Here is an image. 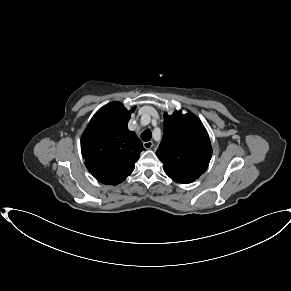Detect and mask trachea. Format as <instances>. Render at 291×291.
<instances>
[{"label":"trachea","instance_id":"3493384b","mask_svg":"<svg viewBox=\"0 0 291 291\" xmlns=\"http://www.w3.org/2000/svg\"><path fill=\"white\" fill-rule=\"evenodd\" d=\"M151 137H152V132L148 129L141 133V139L145 142L149 141Z\"/></svg>","mask_w":291,"mask_h":291}]
</instances>
